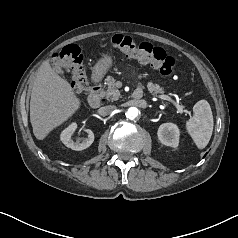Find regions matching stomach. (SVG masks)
<instances>
[{"instance_id":"0dacf381","label":"stomach","mask_w":238,"mask_h":238,"mask_svg":"<svg viewBox=\"0 0 238 238\" xmlns=\"http://www.w3.org/2000/svg\"><path fill=\"white\" fill-rule=\"evenodd\" d=\"M112 57L109 55H105L99 62L96 64L94 68V75L96 77L103 76L109 68L112 66Z\"/></svg>"}]
</instances>
